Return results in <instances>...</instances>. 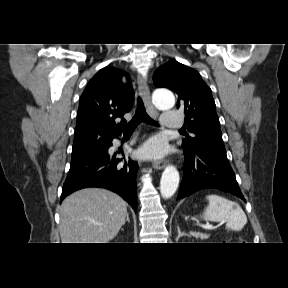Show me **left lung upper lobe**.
<instances>
[{
    "instance_id": "left-lung-upper-lobe-1",
    "label": "left lung upper lobe",
    "mask_w": 288,
    "mask_h": 288,
    "mask_svg": "<svg viewBox=\"0 0 288 288\" xmlns=\"http://www.w3.org/2000/svg\"><path fill=\"white\" fill-rule=\"evenodd\" d=\"M153 82L173 90L178 95L177 108H184L185 124L192 135L183 139V149L203 150L228 161L211 89L200 74L171 60L155 71Z\"/></svg>"
}]
</instances>
